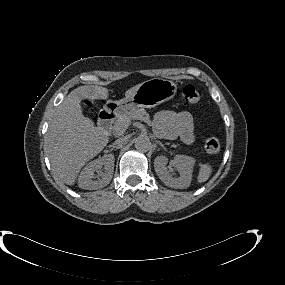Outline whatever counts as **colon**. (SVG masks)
<instances>
[{"mask_svg": "<svg viewBox=\"0 0 285 285\" xmlns=\"http://www.w3.org/2000/svg\"><path fill=\"white\" fill-rule=\"evenodd\" d=\"M182 93L188 105H196L202 99V93L193 85H186ZM204 147L208 153L215 154L220 150V141L216 137H209L205 140Z\"/></svg>", "mask_w": 285, "mask_h": 285, "instance_id": "5ec220e1", "label": "colon"}]
</instances>
